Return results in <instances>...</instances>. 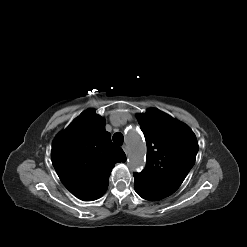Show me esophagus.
Listing matches in <instances>:
<instances>
[{
  "mask_svg": "<svg viewBox=\"0 0 247 247\" xmlns=\"http://www.w3.org/2000/svg\"><path fill=\"white\" fill-rule=\"evenodd\" d=\"M122 148H123L125 154L128 155V153H129L128 146L127 145H123Z\"/></svg>",
  "mask_w": 247,
  "mask_h": 247,
  "instance_id": "obj_1",
  "label": "esophagus"
}]
</instances>
